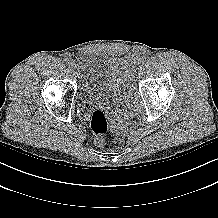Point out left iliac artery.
Here are the masks:
<instances>
[{
	"instance_id": "44dca946",
	"label": "left iliac artery",
	"mask_w": 218,
	"mask_h": 218,
	"mask_svg": "<svg viewBox=\"0 0 218 218\" xmlns=\"http://www.w3.org/2000/svg\"><path fill=\"white\" fill-rule=\"evenodd\" d=\"M145 62H146V57H142V58L140 59V64L144 65Z\"/></svg>"
}]
</instances>
